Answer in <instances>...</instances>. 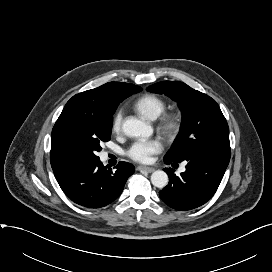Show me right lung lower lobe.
I'll use <instances>...</instances> for the list:
<instances>
[{"label":"right lung lower lobe","mask_w":272,"mask_h":272,"mask_svg":"<svg viewBox=\"0 0 272 272\" xmlns=\"http://www.w3.org/2000/svg\"><path fill=\"white\" fill-rule=\"evenodd\" d=\"M134 171L135 167L127 162H119L115 171H112L97 159L71 164L55 177L73 202L88 208H100L119 197Z\"/></svg>","instance_id":"obj_1"}]
</instances>
